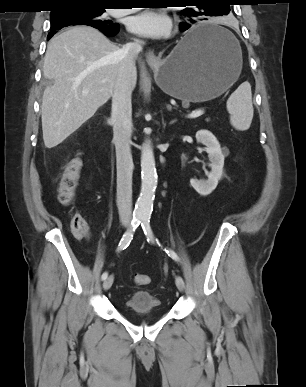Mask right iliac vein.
Masks as SVG:
<instances>
[{"label": "right iliac vein", "mask_w": 306, "mask_h": 387, "mask_svg": "<svg viewBox=\"0 0 306 387\" xmlns=\"http://www.w3.org/2000/svg\"><path fill=\"white\" fill-rule=\"evenodd\" d=\"M125 226H128V224H125ZM113 281H114V277L113 276H109L103 283V289L104 290H108L110 289V287L112 286L113 284Z\"/></svg>", "instance_id": "1"}]
</instances>
